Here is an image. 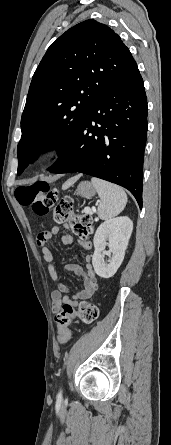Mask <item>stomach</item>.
Segmentation results:
<instances>
[{"instance_id":"0dacf381","label":"stomach","mask_w":171,"mask_h":445,"mask_svg":"<svg viewBox=\"0 0 171 445\" xmlns=\"http://www.w3.org/2000/svg\"><path fill=\"white\" fill-rule=\"evenodd\" d=\"M75 194L84 198H91L96 194V189L90 182L84 181L78 185Z\"/></svg>"}]
</instances>
